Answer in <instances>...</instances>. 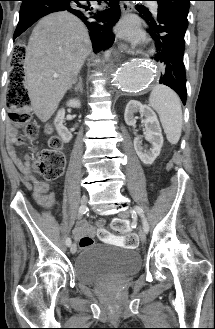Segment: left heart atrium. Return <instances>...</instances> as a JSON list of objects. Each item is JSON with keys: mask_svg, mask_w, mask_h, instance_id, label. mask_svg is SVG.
<instances>
[{"mask_svg": "<svg viewBox=\"0 0 215 329\" xmlns=\"http://www.w3.org/2000/svg\"><path fill=\"white\" fill-rule=\"evenodd\" d=\"M118 33L132 41H140L143 37L137 22L133 18H126L117 25Z\"/></svg>", "mask_w": 215, "mask_h": 329, "instance_id": "left-heart-atrium-1", "label": "left heart atrium"}]
</instances>
